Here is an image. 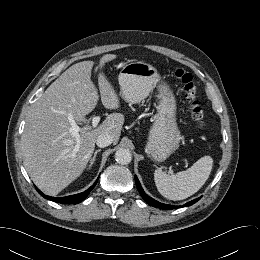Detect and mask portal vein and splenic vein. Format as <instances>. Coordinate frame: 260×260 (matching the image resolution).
I'll use <instances>...</instances> for the list:
<instances>
[{
    "instance_id": "1",
    "label": "portal vein and splenic vein",
    "mask_w": 260,
    "mask_h": 260,
    "mask_svg": "<svg viewBox=\"0 0 260 260\" xmlns=\"http://www.w3.org/2000/svg\"><path fill=\"white\" fill-rule=\"evenodd\" d=\"M100 121V116H95L92 119V127H96L98 125ZM71 123H72V127L70 128V132L75 136L78 137L79 136V132H80V127L75 123V121L73 119H71ZM86 129H90L86 128Z\"/></svg>"
}]
</instances>
